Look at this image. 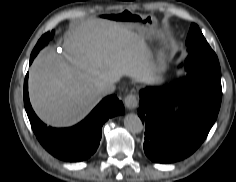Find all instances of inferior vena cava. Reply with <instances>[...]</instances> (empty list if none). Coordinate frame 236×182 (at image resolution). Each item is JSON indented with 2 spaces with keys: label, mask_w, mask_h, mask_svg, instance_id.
Listing matches in <instances>:
<instances>
[{
  "label": "inferior vena cava",
  "mask_w": 236,
  "mask_h": 182,
  "mask_svg": "<svg viewBox=\"0 0 236 182\" xmlns=\"http://www.w3.org/2000/svg\"><path fill=\"white\" fill-rule=\"evenodd\" d=\"M115 91V85L114 83H111V82H107V83H104L101 87H100V92L103 94V95H108V94H111Z\"/></svg>",
  "instance_id": "obj_1"
}]
</instances>
